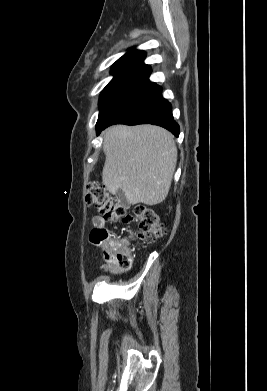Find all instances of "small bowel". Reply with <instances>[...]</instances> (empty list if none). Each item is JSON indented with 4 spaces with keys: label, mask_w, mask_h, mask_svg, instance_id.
<instances>
[{
    "label": "small bowel",
    "mask_w": 267,
    "mask_h": 391,
    "mask_svg": "<svg viewBox=\"0 0 267 391\" xmlns=\"http://www.w3.org/2000/svg\"><path fill=\"white\" fill-rule=\"evenodd\" d=\"M93 224L96 228L103 227V220L99 217H96L93 220ZM103 249L106 251L109 248L107 245H104ZM102 268H103V270L111 272V273H117V271H118V267L114 263L108 262V261H107V263H105L102 266Z\"/></svg>",
    "instance_id": "small-bowel-1"
}]
</instances>
